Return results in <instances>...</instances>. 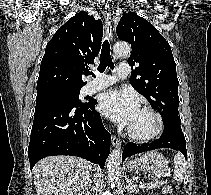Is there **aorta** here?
<instances>
[{"mask_svg":"<svg viewBox=\"0 0 211 195\" xmlns=\"http://www.w3.org/2000/svg\"><path fill=\"white\" fill-rule=\"evenodd\" d=\"M113 50L117 56H129L131 47L127 43L118 42L114 45ZM122 153L120 149H114L108 158L107 172L111 188H115L121 173Z\"/></svg>","mask_w":211,"mask_h":195,"instance_id":"1","label":"aorta"}]
</instances>
